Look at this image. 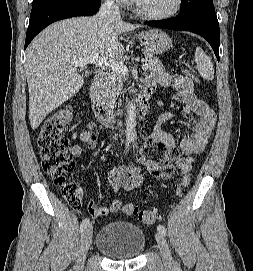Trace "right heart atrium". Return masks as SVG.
Returning a JSON list of instances; mask_svg holds the SVG:
<instances>
[{
    "mask_svg": "<svg viewBox=\"0 0 253 271\" xmlns=\"http://www.w3.org/2000/svg\"><path fill=\"white\" fill-rule=\"evenodd\" d=\"M106 1L116 7H124L129 3V0H106Z\"/></svg>",
    "mask_w": 253,
    "mask_h": 271,
    "instance_id": "1",
    "label": "right heart atrium"
}]
</instances>
